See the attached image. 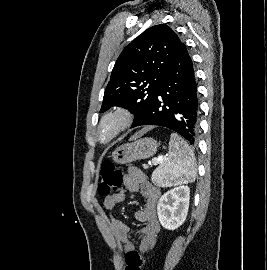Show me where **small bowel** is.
<instances>
[{"mask_svg": "<svg viewBox=\"0 0 267 270\" xmlns=\"http://www.w3.org/2000/svg\"><path fill=\"white\" fill-rule=\"evenodd\" d=\"M123 183L128 192L139 193L145 200L143 208L135 212V218L144 223V226L137 233L140 238L139 251L146 253L154 246L157 234L160 231V224L156 213L160 191L136 167H130L127 170ZM124 200L125 191L119 190L104 199V207L106 210L112 211ZM110 227L115 240L123 246L126 253L135 249L129 236L130 228L126 223L112 217L110 219Z\"/></svg>", "mask_w": 267, "mask_h": 270, "instance_id": "c3829d8e", "label": "small bowel"}]
</instances>
